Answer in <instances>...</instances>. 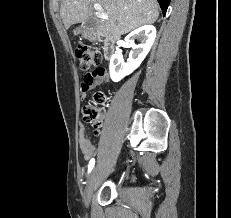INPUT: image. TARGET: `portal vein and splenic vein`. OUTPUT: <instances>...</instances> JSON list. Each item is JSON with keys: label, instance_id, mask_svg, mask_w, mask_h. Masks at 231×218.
I'll use <instances>...</instances> for the list:
<instances>
[{"label": "portal vein and splenic vein", "instance_id": "obj_1", "mask_svg": "<svg viewBox=\"0 0 231 218\" xmlns=\"http://www.w3.org/2000/svg\"><path fill=\"white\" fill-rule=\"evenodd\" d=\"M94 9L98 11L99 16L103 19H107V15L104 13L102 6L99 3L94 4Z\"/></svg>", "mask_w": 231, "mask_h": 218}]
</instances>
